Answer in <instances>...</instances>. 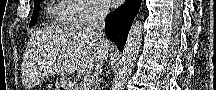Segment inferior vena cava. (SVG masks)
<instances>
[{"label": "inferior vena cava", "instance_id": "602c4592", "mask_svg": "<svg viewBox=\"0 0 216 90\" xmlns=\"http://www.w3.org/2000/svg\"><path fill=\"white\" fill-rule=\"evenodd\" d=\"M92 18L89 22V26L87 28L88 32H94V34H98L99 38H101L105 52V60L108 58L107 52L110 48L108 40L105 38V18L107 14H109V6L107 4H93V8L91 10Z\"/></svg>", "mask_w": 216, "mask_h": 90}]
</instances>
